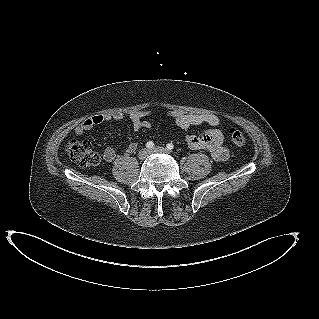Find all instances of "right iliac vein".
<instances>
[{
  "label": "right iliac vein",
  "instance_id": "right-iliac-vein-1",
  "mask_svg": "<svg viewBox=\"0 0 319 319\" xmlns=\"http://www.w3.org/2000/svg\"><path fill=\"white\" fill-rule=\"evenodd\" d=\"M150 151L146 148L142 149L139 151L138 153V158L140 160H144L148 155H149Z\"/></svg>",
  "mask_w": 319,
  "mask_h": 319
}]
</instances>
